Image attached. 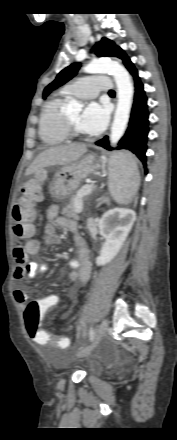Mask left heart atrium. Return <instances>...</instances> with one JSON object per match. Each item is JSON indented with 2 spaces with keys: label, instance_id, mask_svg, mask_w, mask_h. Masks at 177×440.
Listing matches in <instances>:
<instances>
[{
  "label": "left heart atrium",
  "instance_id": "left-heart-atrium-1",
  "mask_svg": "<svg viewBox=\"0 0 177 440\" xmlns=\"http://www.w3.org/2000/svg\"><path fill=\"white\" fill-rule=\"evenodd\" d=\"M108 119V107L102 103L91 102L81 113L78 121V128L83 133L96 135L105 129Z\"/></svg>",
  "mask_w": 177,
  "mask_h": 440
}]
</instances>
